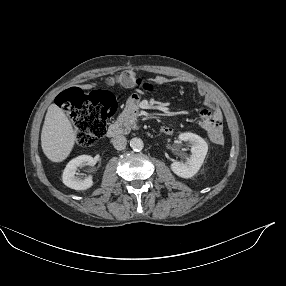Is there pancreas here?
Masks as SVG:
<instances>
[{
	"instance_id": "pancreas-1",
	"label": "pancreas",
	"mask_w": 286,
	"mask_h": 286,
	"mask_svg": "<svg viewBox=\"0 0 286 286\" xmlns=\"http://www.w3.org/2000/svg\"><path fill=\"white\" fill-rule=\"evenodd\" d=\"M132 111H133V107H127V108L124 109L123 112L120 114L118 120L121 122V121L127 119V118L130 116V114L132 113Z\"/></svg>"
}]
</instances>
